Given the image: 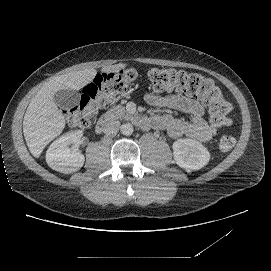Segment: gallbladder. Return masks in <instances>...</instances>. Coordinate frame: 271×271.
Masks as SVG:
<instances>
[{
	"mask_svg": "<svg viewBox=\"0 0 271 271\" xmlns=\"http://www.w3.org/2000/svg\"><path fill=\"white\" fill-rule=\"evenodd\" d=\"M81 101L79 92L71 87L59 90L55 95V103L58 107L71 111L76 109Z\"/></svg>",
	"mask_w": 271,
	"mask_h": 271,
	"instance_id": "1",
	"label": "gallbladder"
}]
</instances>
